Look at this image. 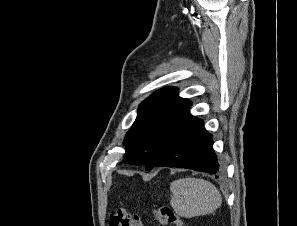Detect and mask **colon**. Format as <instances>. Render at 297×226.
I'll use <instances>...</instances> for the list:
<instances>
[{"mask_svg": "<svg viewBox=\"0 0 297 226\" xmlns=\"http://www.w3.org/2000/svg\"><path fill=\"white\" fill-rule=\"evenodd\" d=\"M156 220L162 225L184 226L183 221L174 213V211L162 205L155 211ZM110 226H142L140 217L125 208L116 209L109 218Z\"/></svg>", "mask_w": 297, "mask_h": 226, "instance_id": "1", "label": "colon"}]
</instances>
